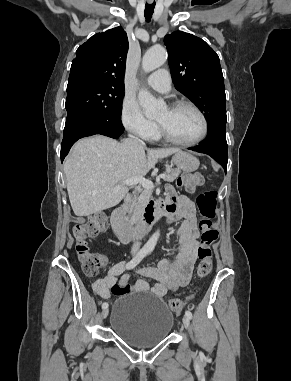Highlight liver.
<instances>
[{"instance_id":"obj_1","label":"liver","mask_w":291,"mask_h":381,"mask_svg":"<svg viewBox=\"0 0 291 381\" xmlns=\"http://www.w3.org/2000/svg\"><path fill=\"white\" fill-rule=\"evenodd\" d=\"M135 139L119 143L102 135L79 140L64 162L67 191L76 216L118 205L129 191L128 179L144 177L159 159L179 149H147ZM119 190H115L116 186Z\"/></svg>"}]
</instances>
